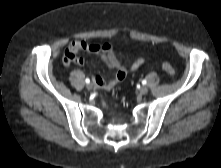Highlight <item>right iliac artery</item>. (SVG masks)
Returning <instances> with one entry per match:
<instances>
[{
    "instance_id": "1",
    "label": "right iliac artery",
    "mask_w": 221,
    "mask_h": 168,
    "mask_svg": "<svg viewBox=\"0 0 221 168\" xmlns=\"http://www.w3.org/2000/svg\"><path fill=\"white\" fill-rule=\"evenodd\" d=\"M85 82H86L87 84H89V83H90V79H89V78H86V79H85Z\"/></svg>"
}]
</instances>
